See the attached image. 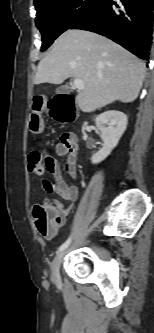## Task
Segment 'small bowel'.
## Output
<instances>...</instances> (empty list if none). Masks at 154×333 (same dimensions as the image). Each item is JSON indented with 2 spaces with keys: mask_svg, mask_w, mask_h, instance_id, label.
<instances>
[{
  "mask_svg": "<svg viewBox=\"0 0 154 333\" xmlns=\"http://www.w3.org/2000/svg\"><path fill=\"white\" fill-rule=\"evenodd\" d=\"M78 142L75 135L64 133L59 142L55 146V152L58 156L64 158L63 170L72 180L77 179L76 161L78 155ZM46 170L53 176L54 181L43 180L42 187L48 193L55 194L61 199L73 203L78 198V188L75 185H69L64 180L62 170L58 161L50 156H44ZM55 206L61 209L64 215L69 213V209L64 208L63 204L58 200H53Z\"/></svg>",
  "mask_w": 154,
  "mask_h": 333,
  "instance_id": "small-bowel-1",
  "label": "small bowel"
}]
</instances>
